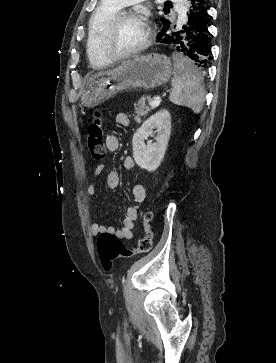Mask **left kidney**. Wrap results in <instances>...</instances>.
Listing matches in <instances>:
<instances>
[{
  "mask_svg": "<svg viewBox=\"0 0 276 363\" xmlns=\"http://www.w3.org/2000/svg\"><path fill=\"white\" fill-rule=\"evenodd\" d=\"M155 130V131H153ZM156 133L155 143L145 140ZM171 134V116L166 109H162L150 116L135 132L133 158L136 164L149 172L155 171L161 164Z\"/></svg>",
  "mask_w": 276,
  "mask_h": 363,
  "instance_id": "5707ae66",
  "label": "left kidney"
}]
</instances>
